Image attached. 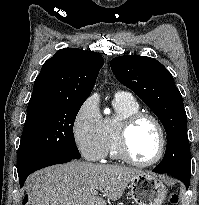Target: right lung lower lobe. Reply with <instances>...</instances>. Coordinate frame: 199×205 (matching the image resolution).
Instances as JSON below:
<instances>
[{"label":"right lung lower lobe","mask_w":199,"mask_h":205,"mask_svg":"<svg viewBox=\"0 0 199 205\" xmlns=\"http://www.w3.org/2000/svg\"><path fill=\"white\" fill-rule=\"evenodd\" d=\"M71 160L72 159H69V158L55 157V158H50V159L44 160L42 162H39V163L27 168L24 172H22L21 174H18L20 187H22L24 185L27 177L31 173H33L34 171H37V170L42 169V168L47 167V166L66 163V162H69Z\"/></svg>","instance_id":"obj_1"}]
</instances>
